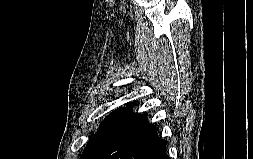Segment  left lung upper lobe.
Masks as SVG:
<instances>
[{"label":"left lung upper lobe","instance_id":"obj_1","mask_svg":"<svg viewBox=\"0 0 253 159\" xmlns=\"http://www.w3.org/2000/svg\"><path fill=\"white\" fill-rule=\"evenodd\" d=\"M124 108H119L117 110H115L113 113H111L110 115L107 116V118L104 119V121L101 123L100 125V129L99 131L89 140V142L87 143L86 148L83 151V154L81 156V159H83V157L85 156L86 152L88 151V149L91 147V145L94 143V141L97 139V137L100 135V133L102 132V130L104 129V127L117 115L119 114Z\"/></svg>","mask_w":253,"mask_h":159}]
</instances>
